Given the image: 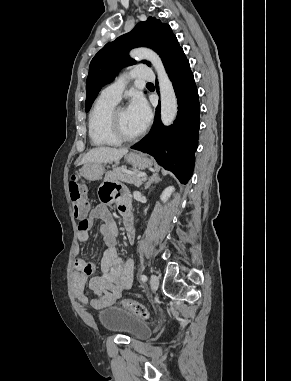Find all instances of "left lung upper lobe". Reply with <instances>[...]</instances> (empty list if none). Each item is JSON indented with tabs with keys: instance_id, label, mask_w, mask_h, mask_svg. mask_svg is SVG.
Masks as SVG:
<instances>
[{
	"instance_id": "left-lung-upper-lobe-1",
	"label": "left lung upper lobe",
	"mask_w": 291,
	"mask_h": 381,
	"mask_svg": "<svg viewBox=\"0 0 291 381\" xmlns=\"http://www.w3.org/2000/svg\"><path fill=\"white\" fill-rule=\"evenodd\" d=\"M142 46L155 50L164 66L181 49L170 26L155 17H149L147 21L138 23L132 31L107 43L90 63L86 81V112L101 88L115 78L119 69L136 63L128 56L129 50ZM147 65L150 66V63L147 62Z\"/></svg>"
}]
</instances>
